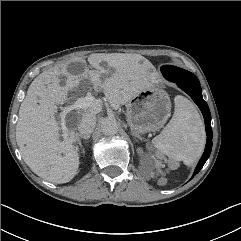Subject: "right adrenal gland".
Here are the masks:
<instances>
[{"mask_svg":"<svg viewBox=\"0 0 241 241\" xmlns=\"http://www.w3.org/2000/svg\"><path fill=\"white\" fill-rule=\"evenodd\" d=\"M78 143H79V145L81 146V148H82V144H81V139H84V140H89L90 139V135H78ZM83 150V152H84V149H82Z\"/></svg>","mask_w":241,"mask_h":241,"instance_id":"2a0ac1e0","label":"right adrenal gland"}]
</instances>
